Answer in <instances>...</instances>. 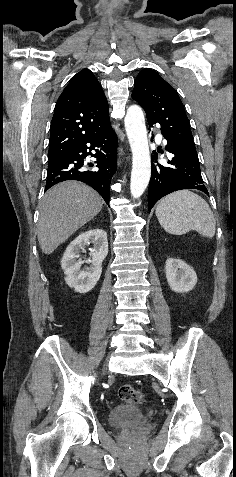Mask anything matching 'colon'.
Instances as JSON below:
<instances>
[{"mask_svg":"<svg viewBox=\"0 0 236 477\" xmlns=\"http://www.w3.org/2000/svg\"><path fill=\"white\" fill-rule=\"evenodd\" d=\"M118 395L121 400L129 403L138 404L143 400L141 392L130 384H125L121 386L118 390Z\"/></svg>","mask_w":236,"mask_h":477,"instance_id":"colon-1","label":"colon"}]
</instances>
